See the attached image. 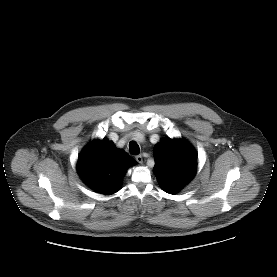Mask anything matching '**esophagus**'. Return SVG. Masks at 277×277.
Masks as SVG:
<instances>
[{
  "instance_id": "esophagus-1",
  "label": "esophagus",
  "mask_w": 277,
  "mask_h": 277,
  "mask_svg": "<svg viewBox=\"0 0 277 277\" xmlns=\"http://www.w3.org/2000/svg\"><path fill=\"white\" fill-rule=\"evenodd\" d=\"M135 159H136V161H137L138 163H142V162H143V157H142L141 155H137V156L135 157Z\"/></svg>"
}]
</instances>
